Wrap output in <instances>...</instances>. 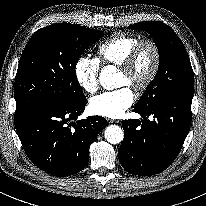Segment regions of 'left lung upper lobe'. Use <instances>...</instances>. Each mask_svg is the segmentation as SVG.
<instances>
[{"label": "left lung upper lobe", "mask_w": 206, "mask_h": 206, "mask_svg": "<svg viewBox=\"0 0 206 206\" xmlns=\"http://www.w3.org/2000/svg\"><path fill=\"white\" fill-rule=\"evenodd\" d=\"M148 32L159 52L157 74L134 108L145 109L167 99L192 98L194 74L187 51L176 33L162 22L147 21L128 26Z\"/></svg>", "instance_id": "1"}]
</instances>
